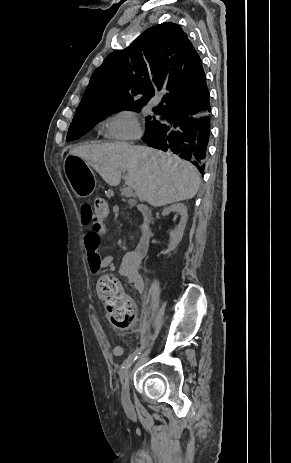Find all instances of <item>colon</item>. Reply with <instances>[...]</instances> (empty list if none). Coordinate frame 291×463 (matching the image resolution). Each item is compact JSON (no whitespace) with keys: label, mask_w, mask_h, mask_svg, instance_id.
I'll return each mask as SVG.
<instances>
[{"label":"colon","mask_w":291,"mask_h":463,"mask_svg":"<svg viewBox=\"0 0 291 463\" xmlns=\"http://www.w3.org/2000/svg\"><path fill=\"white\" fill-rule=\"evenodd\" d=\"M85 225H91L95 217H107L109 211L105 201L96 198L81 206ZM97 292L104 302L111 322L120 329L130 327L136 316V309L131 298L124 294L119 279L114 275H104L98 279Z\"/></svg>","instance_id":"obj_1"}]
</instances>
